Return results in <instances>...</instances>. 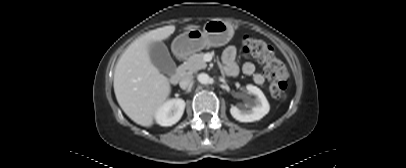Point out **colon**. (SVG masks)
I'll use <instances>...</instances> for the list:
<instances>
[{
	"label": "colon",
	"mask_w": 406,
	"mask_h": 168,
	"mask_svg": "<svg viewBox=\"0 0 406 168\" xmlns=\"http://www.w3.org/2000/svg\"><path fill=\"white\" fill-rule=\"evenodd\" d=\"M242 51L245 55L265 64L269 91L273 97H280L286 88L288 74L282 61L276 57L272 46L262 39L245 36Z\"/></svg>",
	"instance_id": "5ec220e1"
}]
</instances>
